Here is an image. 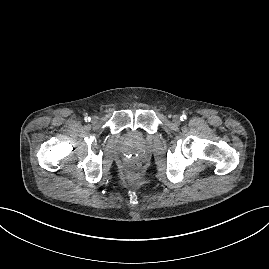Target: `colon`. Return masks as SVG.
Returning <instances> with one entry per match:
<instances>
[{
	"instance_id": "5ec220e1",
	"label": "colon",
	"mask_w": 269,
	"mask_h": 269,
	"mask_svg": "<svg viewBox=\"0 0 269 269\" xmlns=\"http://www.w3.org/2000/svg\"><path fill=\"white\" fill-rule=\"evenodd\" d=\"M125 169L130 174H135L139 170V165L136 163H131L125 166Z\"/></svg>"
}]
</instances>
